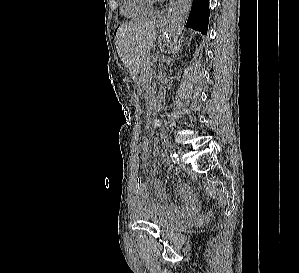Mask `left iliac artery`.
Listing matches in <instances>:
<instances>
[{
    "mask_svg": "<svg viewBox=\"0 0 299 273\" xmlns=\"http://www.w3.org/2000/svg\"><path fill=\"white\" fill-rule=\"evenodd\" d=\"M172 161H173V162L179 161V157H178V155H177L176 153H174V154L172 155Z\"/></svg>",
    "mask_w": 299,
    "mask_h": 273,
    "instance_id": "44dca946",
    "label": "left iliac artery"
}]
</instances>
